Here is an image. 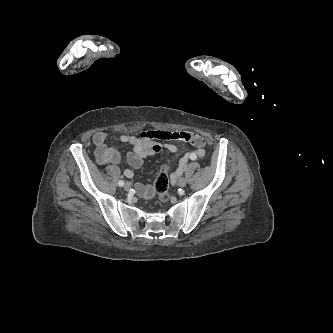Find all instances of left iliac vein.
I'll list each match as a JSON object with an SVG mask.
<instances>
[{
  "mask_svg": "<svg viewBox=\"0 0 333 333\" xmlns=\"http://www.w3.org/2000/svg\"><path fill=\"white\" fill-rule=\"evenodd\" d=\"M186 184H187V180L184 177L179 178L178 185L180 187H184V186H186Z\"/></svg>",
  "mask_w": 333,
  "mask_h": 333,
  "instance_id": "1",
  "label": "left iliac vein"
}]
</instances>
